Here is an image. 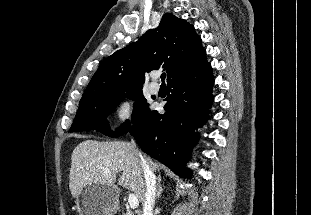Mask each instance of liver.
Instances as JSON below:
<instances>
[{"mask_svg":"<svg viewBox=\"0 0 311 215\" xmlns=\"http://www.w3.org/2000/svg\"><path fill=\"white\" fill-rule=\"evenodd\" d=\"M147 163L152 170L157 165L149 157ZM108 169L109 172H105ZM121 172L117 185L130 190L140 202L144 201L145 180L138 157L131 143L122 141L100 142L85 140L79 143L71 155L69 188L73 198H77L88 184L115 185L117 174Z\"/></svg>","mask_w":311,"mask_h":215,"instance_id":"6515ba94","label":"liver"}]
</instances>
